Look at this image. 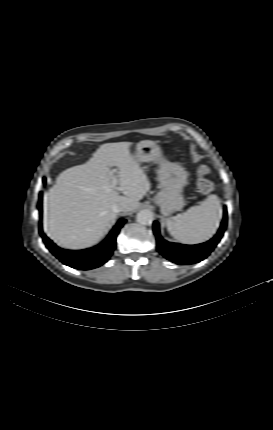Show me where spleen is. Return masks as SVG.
Segmentation results:
<instances>
[{"instance_id":"3e777b00","label":"spleen","mask_w":273,"mask_h":430,"mask_svg":"<svg viewBox=\"0 0 273 430\" xmlns=\"http://www.w3.org/2000/svg\"><path fill=\"white\" fill-rule=\"evenodd\" d=\"M221 212L218 196L211 194L200 205L189 208L178 218L167 219V229L179 242L202 243L215 234Z\"/></svg>"}]
</instances>
